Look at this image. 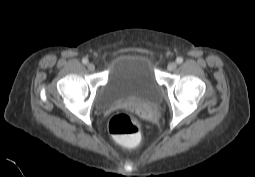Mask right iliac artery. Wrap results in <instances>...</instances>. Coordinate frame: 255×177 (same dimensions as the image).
I'll use <instances>...</instances> for the list:
<instances>
[{
	"label": "right iliac artery",
	"instance_id": "1",
	"mask_svg": "<svg viewBox=\"0 0 255 177\" xmlns=\"http://www.w3.org/2000/svg\"><path fill=\"white\" fill-rule=\"evenodd\" d=\"M82 62H83V64H87L88 63V59L87 58H84L83 60H82Z\"/></svg>",
	"mask_w": 255,
	"mask_h": 177
}]
</instances>
